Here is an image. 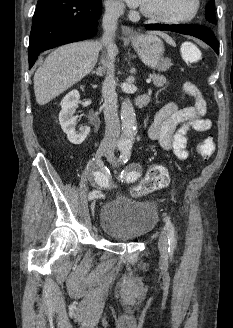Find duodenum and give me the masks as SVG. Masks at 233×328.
I'll use <instances>...</instances> for the list:
<instances>
[{"instance_id":"duodenum-1","label":"duodenum","mask_w":233,"mask_h":328,"mask_svg":"<svg viewBox=\"0 0 233 328\" xmlns=\"http://www.w3.org/2000/svg\"><path fill=\"white\" fill-rule=\"evenodd\" d=\"M149 103V97L147 94H142L134 100V106L137 108H143Z\"/></svg>"}]
</instances>
